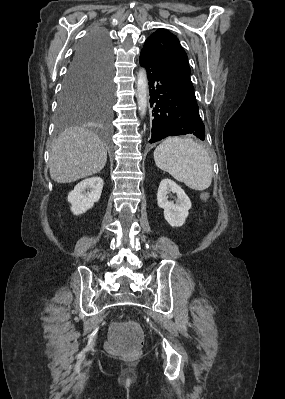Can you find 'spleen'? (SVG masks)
<instances>
[{
	"label": "spleen",
	"instance_id": "3e777b00",
	"mask_svg": "<svg viewBox=\"0 0 285 399\" xmlns=\"http://www.w3.org/2000/svg\"><path fill=\"white\" fill-rule=\"evenodd\" d=\"M161 170L189 188L203 191L212 182V165L208 152L191 138L168 137L154 151Z\"/></svg>",
	"mask_w": 285,
	"mask_h": 399
}]
</instances>
